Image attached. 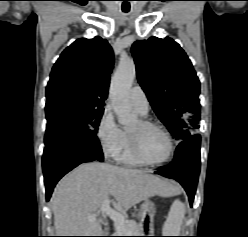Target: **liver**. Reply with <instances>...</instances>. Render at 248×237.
<instances>
[{"instance_id":"obj_1","label":"liver","mask_w":248,"mask_h":237,"mask_svg":"<svg viewBox=\"0 0 248 237\" xmlns=\"http://www.w3.org/2000/svg\"><path fill=\"white\" fill-rule=\"evenodd\" d=\"M176 189L143 170L117 167L107 163L81 164L64 176L51 197L56 236H102L97 217L106 199L124 214L149 197L168 196Z\"/></svg>"}]
</instances>
